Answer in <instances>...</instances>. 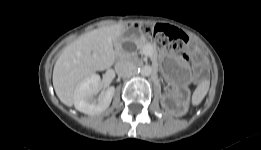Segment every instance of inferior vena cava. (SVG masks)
Wrapping results in <instances>:
<instances>
[{"label":"inferior vena cava","instance_id":"inferior-vena-cava-1","mask_svg":"<svg viewBox=\"0 0 261 150\" xmlns=\"http://www.w3.org/2000/svg\"><path fill=\"white\" fill-rule=\"evenodd\" d=\"M115 71L120 77H129L136 72V66L128 61H119L115 65Z\"/></svg>","mask_w":261,"mask_h":150}]
</instances>
